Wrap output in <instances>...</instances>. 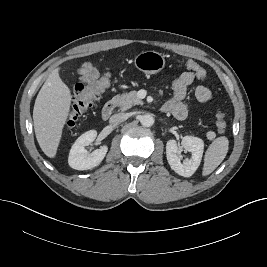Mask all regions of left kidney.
<instances>
[{
  "mask_svg": "<svg viewBox=\"0 0 267 267\" xmlns=\"http://www.w3.org/2000/svg\"><path fill=\"white\" fill-rule=\"evenodd\" d=\"M182 147L191 153L190 159L181 162V156L178 154L179 148L175 140H169L166 144V157L172 170L183 177H190L194 174L201 163L204 142L202 139L194 136H185L182 139Z\"/></svg>",
  "mask_w": 267,
  "mask_h": 267,
  "instance_id": "5707ae66",
  "label": "left kidney"
}]
</instances>
